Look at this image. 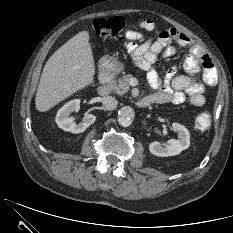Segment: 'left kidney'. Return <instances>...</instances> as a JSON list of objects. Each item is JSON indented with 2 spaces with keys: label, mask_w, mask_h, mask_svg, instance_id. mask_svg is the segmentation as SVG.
<instances>
[{
  "label": "left kidney",
  "mask_w": 233,
  "mask_h": 233,
  "mask_svg": "<svg viewBox=\"0 0 233 233\" xmlns=\"http://www.w3.org/2000/svg\"><path fill=\"white\" fill-rule=\"evenodd\" d=\"M172 129L174 132H177L178 139H170L165 147L157 141L150 143L149 150L153 155L158 157L174 156L190 146V134L185 126L179 123H172Z\"/></svg>",
  "instance_id": "left-kidney-1"
}]
</instances>
